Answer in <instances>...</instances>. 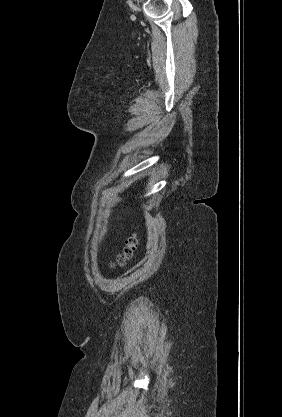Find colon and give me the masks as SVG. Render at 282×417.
I'll return each mask as SVG.
<instances>
[{
  "instance_id": "obj_1",
  "label": "colon",
  "mask_w": 282,
  "mask_h": 417,
  "mask_svg": "<svg viewBox=\"0 0 282 417\" xmlns=\"http://www.w3.org/2000/svg\"><path fill=\"white\" fill-rule=\"evenodd\" d=\"M137 247H138V239L136 236H133L129 240L127 244V248L125 249V252L123 253L122 256L119 257L117 261V265L123 266L129 260L133 252L137 249Z\"/></svg>"
}]
</instances>
